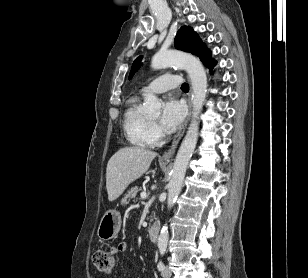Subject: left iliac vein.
<instances>
[{
    "label": "left iliac vein",
    "instance_id": "obj_1",
    "mask_svg": "<svg viewBox=\"0 0 308 278\" xmlns=\"http://www.w3.org/2000/svg\"><path fill=\"white\" fill-rule=\"evenodd\" d=\"M161 274H162V276H163L164 278H170L171 275H172V272H171L170 268L166 266V267L162 270Z\"/></svg>",
    "mask_w": 308,
    "mask_h": 278
}]
</instances>
